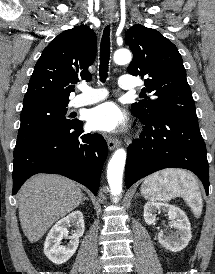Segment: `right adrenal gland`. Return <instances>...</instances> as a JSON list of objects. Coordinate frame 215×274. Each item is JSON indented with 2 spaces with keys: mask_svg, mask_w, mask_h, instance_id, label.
Masks as SVG:
<instances>
[{
  "mask_svg": "<svg viewBox=\"0 0 215 274\" xmlns=\"http://www.w3.org/2000/svg\"><path fill=\"white\" fill-rule=\"evenodd\" d=\"M84 200H88V198H86L85 196H83V199H82L81 204H83V201H84Z\"/></svg>",
  "mask_w": 215,
  "mask_h": 274,
  "instance_id": "2a0ac1e0",
  "label": "right adrenal gland"
}]
</instances>
